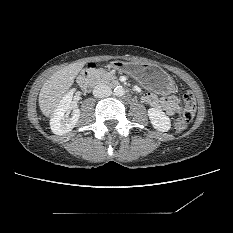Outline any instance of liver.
Masks as SVG:
<instances>
[{
  "mask_svg": "<svg viewBox=\"0 0 233 233\" xmlns=\"http://www.w3.org/2000/svg\"><path fill=\"white\" fill-rule=\"evenodd\" d=\"M84 67V62L72 63L54 73L42 86L39 107L46 117H52L64 95Z\"/></svg>",
  "mask_w": 233,
  "mask_h": 233,
  "instance_id": "liver-1",
  "label": "liver"
}]
</instances>
